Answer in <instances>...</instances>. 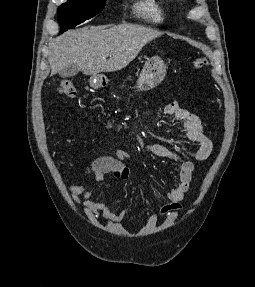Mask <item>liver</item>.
<instances>
[{
	"instance_id": "obj_1",
	"label": "liver",
	"mask_w": 255,
	"mask_h": 287,
	"mask_svg": "<svg viewBox=\"0 0 255 287\" xmlns=\"http://www.w3.org/2000/svg\"><path fill=\"white\" fill-rule=\"evenodd\" d=\"M158 36H162V32L135 24L69 30L49 42L48 62L52 74L72 64L85 76L117 72L133 62L143 46Z\"/></svg>"
}]
</instances>
